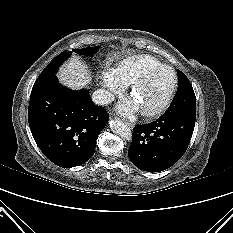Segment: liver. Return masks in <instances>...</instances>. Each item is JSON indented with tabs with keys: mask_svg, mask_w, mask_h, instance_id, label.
<instances>
[{
	"mask_svg": "<svg viewBox=\"0 0 233 233\" xmlns=\"http://www.w3.org/2000/svg\"><path fill=\"white\" fill-rule=\"evenodd\" d=\"M59 80L71 89L85 87L90 81L87 66L78 58H72L58 74Z\"/></svg>",
	"mask_w": 233,
	"mask_h": 233,
	"instance_id": "liver-1",
	"label": "liver"
}]
</instances>
